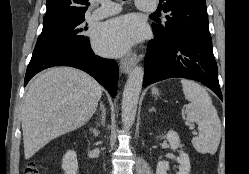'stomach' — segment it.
Here are the masks:
<instances>
[{
	"label": "stomach",
	"mask_w": 249,
	"mask_h": 174,
	"mask_svg": "<svg viewBox=\"0 0 249 174\" xmlns=\"http://www.w3.org/2000/svg\"><path fill=\"white\" fill-rule=\"evenodd\" d=\"M152 94H153V95H158V90H157L156 88H153V89H152Z\"/></svg>",
	"instance_id": "1"
}]
</instances>
